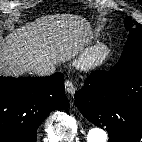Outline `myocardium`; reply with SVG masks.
<instances>
[{"label":"myocardium","instance_id":"myocardium-1","mask_svg":"<svg viewBox=\"0 0 142 142\" xmlns=\"http://www.w3.org/2000/svg\"><path fill=\"white\" fill-rule=\"evenodd\" d=\"M110 55V46L105 42H99L81 53L77 65L83 70H93L103 65Z\"/></svg>","mask_w":142,"mask_h":142}]
</instances>
